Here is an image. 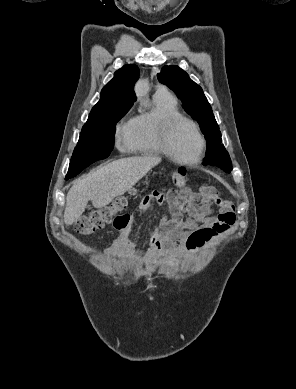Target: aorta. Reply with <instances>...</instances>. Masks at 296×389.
<instances>
[{"instance_id":"762f6f07","label":"aorta","mask_w":296,"mask_h":389,"mask_svg":"<svg viewBox=\"0 0 296 389\" xmlns=\"http://www.w3.org/2000/svg\"><path fill=\"white\" fill-rule=\"evenodd\" d=\"M135 92L139 97L146 96L148 92V81L146 79L139 80L135 86Z\"/></svg>"}]
</instances>
